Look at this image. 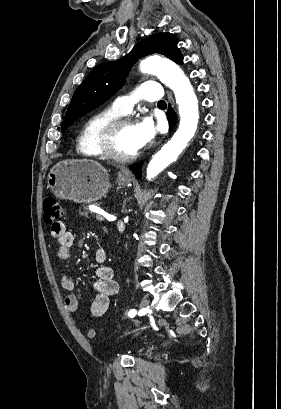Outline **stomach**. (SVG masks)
Segmentation results:
<instances>
[{
	"label": "stomach",
	"mask_w": 281,
	"mask_h": 409,
	"mask_svg": "<svg viewBox=\"0 0 281 409\" xmlns=\"http://www.w3.org/2000/svg\"><path fill=\"white\" fill-rule=\"evenodd\" d=\"M132 178L118 172L119 186H126ZM47 184L58 198L74 202H93L105 196L110 188L109 174L97 160L67 158L52 166Z\"/></svg>",
	"instance_id": "0dacf381"
}]
</instances>
